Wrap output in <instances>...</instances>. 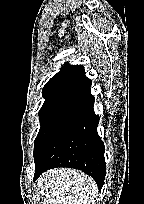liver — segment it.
<instances>
[{
	"label": "liver",
	"instance_id": "liver-1",
	"mask_svg": "<svg viewBox=\"0 0 144 204\" xmlns=\"http://www.w3.org/2000/svg\"><path fill=\"white\" fill-rule=\"evenodd\" d=\"M37 186L45 190L44 204H95V181L80 171L57 168L41 177Z\"/></svg>",
	"mask_w": 144,
	"mask_h": 204
}]
</instances>
